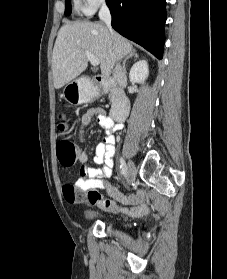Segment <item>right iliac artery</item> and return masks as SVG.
Returning <instances> with one entry per match:
<instances>
[{
    "instance_id": "1",
    "label": "right iliac artery",
    "mask_w": 227,
    "mask_h": 279,
    "mask_svg": "<svg viewBox=\"0 0 227 279\" xmlns=\"http://www.w3.org/2000/svg\"><path fill=\"white\" fill-rule=\"evenodd\" d=\"M120 172L123 176H125L126 173H127V167H126V164H125V162L122 158H120Z\"/></svg>"
}]
</instances>
